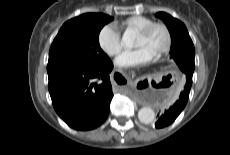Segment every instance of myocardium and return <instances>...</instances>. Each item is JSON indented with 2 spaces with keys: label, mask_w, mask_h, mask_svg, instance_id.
Instances as JSON below:
<instances>
[{
  "label": "myocardium",
  "mask_w": 230,
  "mask_h": 155,
  "mask_svg": "<svg viewBox=\"0 0 230 155\" xmlns=\"http://www.w3.org/2000/svg\"><path fill=\"white\" fill-rule=\"evenodd\" d=\"M156 28H160L165 32L166 35V43L162 50L155 56L156 59H160L171 51L172 45H173V35L171 32V29L169 26L163 22H153L150 25L146 26L142 30L138 31L137 34L142 36V37H147L149 36L153 30Z\"/></svg>",
  "instance_id": "obj_1"
}]
</instances>
